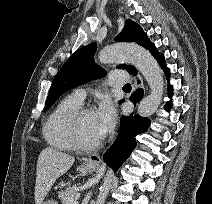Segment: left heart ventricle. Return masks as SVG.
<instances>
[{"label":"left heart ventricle","instance_id":"obj_1","mask_svg":"<svg viewBox=\"0 0 212 204\" xmlns=\"http://www.w3.org/2000/svg\"><path fill=\"white\" fill-rule=\"evenodd\" d=\"M78 132L81 141L85 144L95 143L102 138L95 112L88 113L80 119Z\"/></svg>","mask_w":212,"mask_h":204}]
</instances>
